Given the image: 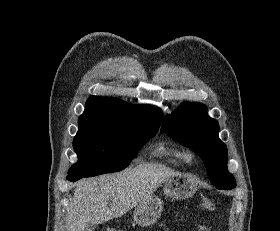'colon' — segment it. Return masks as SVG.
<instances>
[{"mask_svg": "<svg viewBox=\"0 0 280 231\" xmlns=\"http://www.w3.org/2000/svg\"><path fill=\"white\" fill-rule=\"evenodd\" d=\"M201 206L208 211H212L215 207L214 203L207 197H202Z\"/></svg>", "mask_w": 280, "mask_h": 231, "instance_id": "1", "label": "colon"}]
</instances>
